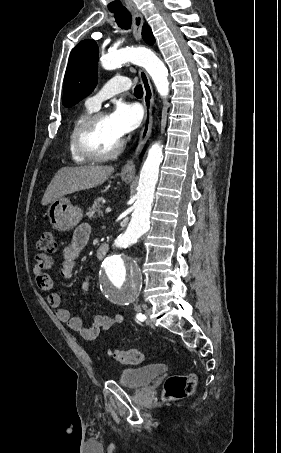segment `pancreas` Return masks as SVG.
Returning <instances> with one entry per match:
<instances>
[{"instance_id":"obj_1","label":"pancreas","mask_w":281,"mask_h":453,"mask_svg":"<svg viewBox=\"0 0 281 453\" xmlns=\"http://www.w3.org/2000/svg\"><path fill=\"white\" fill-rule=\"evenodd\" d=\"M103 196H97L95 198L92 206H89L88 208V216L89 218H97V216H104V212L102 208H104V204H100L102 202Z\"/></svg>"}]
</instances>
